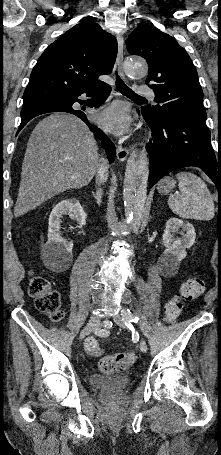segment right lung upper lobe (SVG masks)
Returning <instances> with one entry per match:
<instances>
[{
	"label": "right lung upper lobe",
	"instance_id": "obj_1",
	"mask_svg": "<svg viewBox=\"0 0 221 455\" xmlns=\"http://www.w3.org/2000/svg\"><path fill=\"white\" fill-rule=\"evenodd\" d=\"M117 41L99 24L84 21L53 42L32 70L23 106L58 99L71 90L111 73Z\"/></svg>",
	"mask_w": 221,
	"mask_h": 455
}]
</instances>
